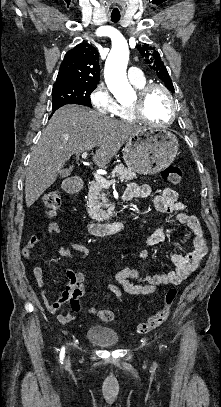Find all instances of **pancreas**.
<instances>
[{"instance_id": "pancreas-1", "label": "pancreas", "mask_w": 221, "mask_h": 407, "mask_svg": "<svg viewBox=\"0 0 221 407\" xmlns=\"http://www.w3.org/2000/svg\"><path fill=\"white\" fill-rule=\"evenodd\" d=\"M110 177H118L121 181H133L137 178L134 171L117 165L111 172ZM104 188L97 182H91L87 196V211L89 216L98 222L109 220L113 215V208L108 202Z\"/></svg>"}]
</instances>
